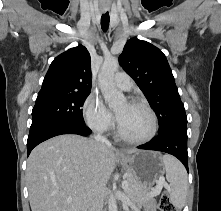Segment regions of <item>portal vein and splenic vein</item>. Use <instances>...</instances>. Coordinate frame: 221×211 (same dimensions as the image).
I'll use <instances>...</instances> for the list:
<instances>
[{
    "label": "portal vein and splenic vein",
    "mask_w": 221,
    "mask_h": 211,
    "mask_svg": "<svg viewBox=\"0 0 221 211\" xmlns=\"http://www.w3.org/2000/svg\"><path fill=\"white\" fill-rule=\"evenodd\" d=\"M164 185V182L163 181H158L157 182V185H156V187L152 190V192L150 193V197H154V196H156L157 194H159L160 193V191H161V187ZM127 187H128V181L127 180H123V182H122V188L124 189V190H126L127 189ZM72 201V198H68L67 199V202H71Z\"/></svg>",
    "instance_id": "1"
}]
</instances>
